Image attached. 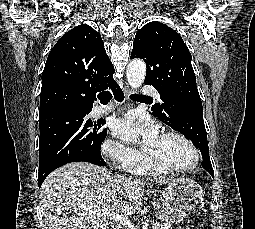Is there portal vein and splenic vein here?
I'll list each match as a JSON object with an SVG mask.
<instances>
[{"mask_svg":"<svg viewBox=\"0 0 255 229\" xmlns=\"http://www.w3.org/2000/svg\"><path fill=\"white\" fill-rule=\"evenodd\" d=\"M96 214L98 216H108L109 218L115 220L116 222H120L122 225L126 226L128 229H135V226L132 224V222L128 218L121 216L120 214L112 211L111 209L96 211ZM157 226H159V223L153 224V228H156Z\"/></svg>","mask_w":255,"mask_h":229,"instance_id":"18ae733b","label":"portal vein and splenic vein"}]
</instances>
